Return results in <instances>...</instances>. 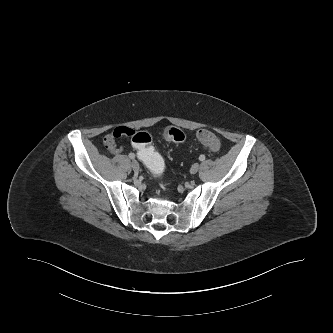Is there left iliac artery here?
Returning <instances> with one entry per match:
<instances>
[{"label": "left iliac artery", "instance_id": "1", "mask_svg": "<svg viewBox=\"0 0 333 333\" xmlns=\"http://www.w3.org/2000/svg\"><path fill=\"white\" fill-rule=\"evenodd\" d=\"M199 160H200V161L205 160V156H204V155H200Z\"/></svg>", "mask_w": 333, "mask_h": 333}]
</instances>
